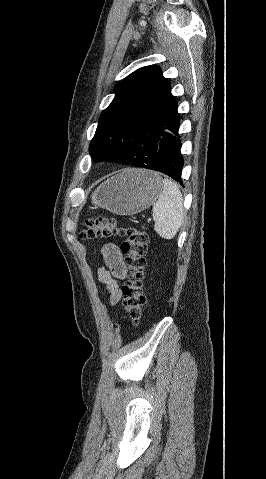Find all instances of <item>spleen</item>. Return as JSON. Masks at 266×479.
<instances>
[{
  "label": "spleen",
  "mask_w": 266,
  "mask_h": 479,
  "mask_svg": "<svg viewBox=\"0 0 266 479\" xmlns=\"http://www.w3.org/2000/svg\"><path fill=\"white\" fill-rule=\"evenodd\" d=\"M155 232L163 239H173L184 220L183 197L178 185L165 178L162 191L153 206Z\"/></svg>",
  "instance_id": "obj_1"
}]
</instances>
